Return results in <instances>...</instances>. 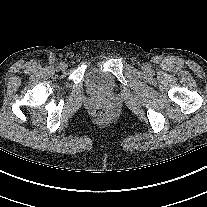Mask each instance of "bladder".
<instances>
[{
    "mask_svg": "<svg viewBox=\"0 0 207 207\" xmlns=\"http://www.w3.org/2000/svg\"><path fill=\"white\" fill-rule=\"evenodd\" d=\"M110 84V76L97 68L89 71L87 76V85L95 92H102L108 89Z\"/></svg>",
    "mask_w": 207,
    "mask_h": 207,
    "instance_id": "obj_1",
    "label": "bladder"
}]
</instances>
